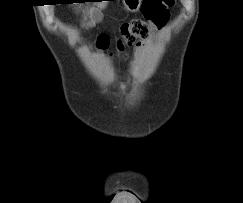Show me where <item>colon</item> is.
I'll list each match as a JSON object with an SVG mask.
<instances>
[{
	"label": "colon",
	"mask_w": 243,
	"mask_h": 203,
	"mask_svg": "<svg viewBox=\"0 0 243 203\" xmlns=\"http://www.w3.org/2000/svg\"><path fill=\"white\" fill-rule=\"evenodd\" d=\"M177 4V0H143L141 13L143 19H133L120 27V37L116 41V56L125 60L128 50L137 46L140 40L145 39L152 29H161L168 21L169 9ZM109 38L101 35L98 39V49L107 53Z\"/></svg>",
	"instance_id": "5ec220e1"
}]
</instances>
